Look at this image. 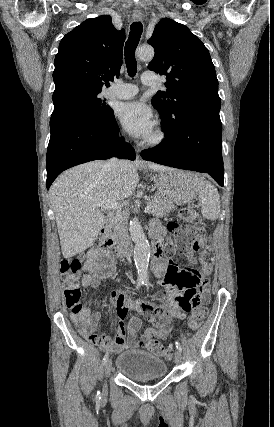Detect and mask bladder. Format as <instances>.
<instances>
[{"label":"bladder","instance_id":"obj_1","mask_svg":"<svg viewBox=\"0 0 274 427\" xmlns=\"http://www.w3.org/2000/svg\"><path fill=\"white\" fill-rule=\"evenodd\" d=\"M115 370L131 379L167 376L166 360L144 349H131L116 356Z\"/></svg>","mask_w":274,"mask_h":427}]
</instances>
